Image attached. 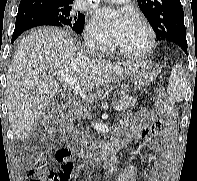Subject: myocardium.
<instances>
[{"label":"myocardium","mask_w":197,"mask_h":181,"mask_svg":"<svg viewBox=\"0 0 197 181\" xmlns=\"http://www.w3.org/2000/svg\"><path fill=\"white\" fill-rule=\"evenodd\" d=\"M132 21L142 25L145 28V30L147 31L148 43H147L146 47L140 51H131V50H127V49L120 47L115 41L114 45H113V49L117 53H119L123 56H126V57L142 58V57H145L148 54H150L152 52V50L154 49L155 43H156V33H155L152 25L143 17L135 16L132 19Z\"/></svg>","instance_id":"f54148a6"}]
</instances>
